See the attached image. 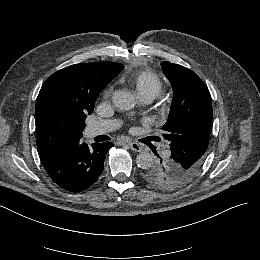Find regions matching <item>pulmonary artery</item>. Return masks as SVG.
Here are the masks:
<instances>
[{
	"label": "pulmonary artery",
	"instance_id": "pulmonary-artery-1",
	"mask_svg": "<svg viewBox=\"0 0 260 260\" xmlns=\"http://www.w3.org/2000/svg\"><path fill=\"white\" fill-rule=\"evenodd\" d=\"M142 103H150V97L139 98ZM117 127V123L113 120H98L89 122L86 126V135L89 138L106 134L113 131Z\"/></svg>",
	"mask_w": 260,
	"mask_h": 260
}]
</instances>
